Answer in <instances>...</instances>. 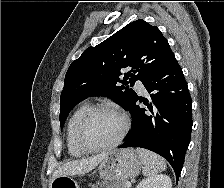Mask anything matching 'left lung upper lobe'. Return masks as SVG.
<instances>
[{"mask_svg":"<svg viewBox=\"0 0 224 188\" xmlns=\"http://www.w3.org/2000/svg\"><path fill=\"white\" fill-rule=\"evenodd\" d=\"M173 57L160 30L141 19L87 48L65 76L60 97L61 127L73 107L89 96H108L130 111L137 97L130 86L136 80L143 82ZM122 68L129 70L124 81L119 78Z\"/></svg>","mask_w":224,"mask_h":188,"instance_id":"obj_1","label":"left lung upper lobe"}]
</instances>
